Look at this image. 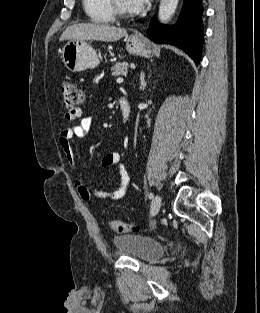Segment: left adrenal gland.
Instances as JSON below:
<instances>
[{
  "label": "left adrenal gland",
  "instance_id": "1",
  "mask_svg": "<svg viewBox=\"0 0 260 313\" xmlns=\"http://www.w3.org/2000/svg\"><path fill=\"white\" fill-rule=\"evenodd\" d=\"M146 84H147V83H146V81H145V75H144V73L142 72L141 75H140V89H141L142 91L145 90Z\"/></svg>",
  "mask_w": 260,
  "mask_h": 313
}]
</instances>
